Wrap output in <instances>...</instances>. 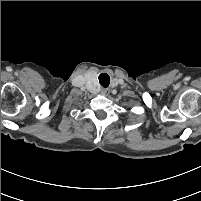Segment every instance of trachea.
Listing matches in <instances>:
<instances>
[{
    "mask_svg": "<svg viewBox=\"0 0 201 201\" xmlns=\"http://www.w3.org/2000/svg\"><path fill=\"white\" fill-rule=\"evenodd\" d=\"M99 82L103 87H108L110 83V77L106 73H102L99 75Z\"/></svg>",
    "mask_w": 201,
    "mask_h": 201,
    "instance_id": "trachea-1",
    "label": "trachea"
}]
</instances>
